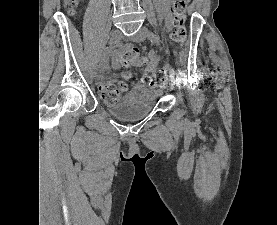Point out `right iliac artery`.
Segmentation results:
<instances>
[{
    "label": "right iliac artery",
    "mask_w": 277,
    "mask_h": 225,
    "mask_svg": "<svg viewBox=\"0 0 277 225\" xmlns=\"http://www.w3.org/2000/svg\"><path fill=\"white\" fill-rule=\"evenodd\" d=\"M115 48V45H112L111 43H109V46L105 47L100 55L99 61H98V65L96 67V72L95 74H97L99 76L100 74V70L101 67L103 66L105 60L107 59V55Z\"/></svg>",
    "instance_id": "82829eb1"
}]
</instances>
